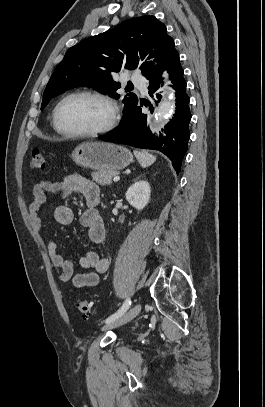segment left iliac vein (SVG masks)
<instances>
[{
    "mask_svg": "<svg viewBox=\"0 0 265 407\" xmlns=\"http://www.w3.org/2000/svg\"><path fill=\"white\" fill-rule=\"evenodd\" d=\"M141 304H136L132 308H130L126 313L118 317L112 322L107 323L102 327V331H107L109 329L119 327L121 325L126 324L127 322L131 321L133 318H135L141 311Z\"/></svg>",
    "mask_w": 265,
    "mask_h": 407,
    "instance_id": "obj_1",
    "label": "left iliac vein"
}]
</instances>
